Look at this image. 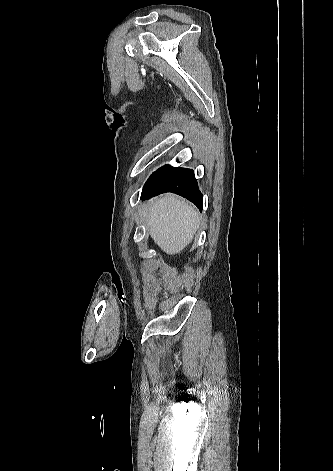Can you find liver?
Instances as JSON below:
<instances>
[{
  "instance_id": "liver-1",
  "label": "liver",
  "mask_w": 333,
  "mask_h": 471,
  "mask_svg": "<svg viewBox=\"0 0 333 471\" xmlns=\"http://www.w3.org/2000/svg\"><path fill=\"white\" fill-rule=\"evenodd\" d=\"M199 225L194 207L174 194H166L149 204L150 236L169 255L180 253L192 241Z\"/></svg>"
}]
</instances>
